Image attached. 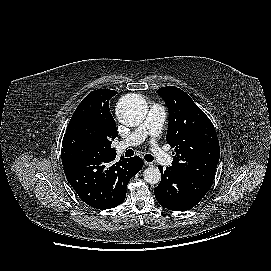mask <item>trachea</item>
I'll list each match as a JSON object with an SVG mask.
<instances>
[{"label":"trachea","mask_w":271,"mask_h":271,"mask_svg":"<svg viewBox=\"0 0 271 271\" xmlns=\"http://www.w3.org/2000/svg\"><path fill=\"white\" fill-rule=\"evenodd\" d=\"M133 154H134V152H133V150H131V149H129V150L127 151V153H126V155H127L128 157L132 156ZM144 159H145L147 162H152V161L154 160L153 156L150 155V154H146V155L144 156Z\"/></svg>","instance_id":"1"}]
</instances>
